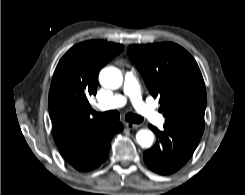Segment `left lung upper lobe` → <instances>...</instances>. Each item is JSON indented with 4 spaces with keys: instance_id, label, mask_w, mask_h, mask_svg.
I'll return each mask as SVG.
<instances>
[{
    "instance_id": "1",
    "label": "left lung upper lobe",
    "mask_w": 245,
    "mask_h": 195,
    "mask_svg": "<svg viewBox=\"0 0 245 195\" xmlns=\"http://www.w3.org/2000/svg\"><path fill=\"white\" fill-rule=\"evenodd\" d=\"M127 52L151 95L159 97L165 124L202 135L206 90L194 58L181 46L168 42L131 45Z\"/></svg>"
}]
</instances>
